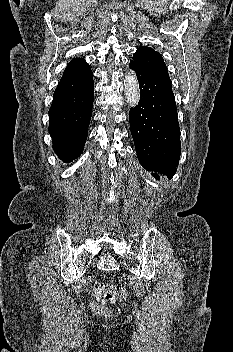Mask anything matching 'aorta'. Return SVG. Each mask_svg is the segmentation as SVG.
Listing matches in <instances>:
<instances>
[{
    "label": "aorta",
    "mask_w": 233,
    "mask_h": 352,
    "mask_svg": "<svg viewBox=\"0 0 233 352\" xmlns=\"http://www.w3.org/2000/svg\"><path fill=\"white\" fill-rule=\"evenodd\" d=\"M124 92L128 104L132 107L138 105L140 90L138 79L133 71L128 72L124 78Z\"/></svg>",
    "instance_id": "aorta-1"
}]
</instances>
